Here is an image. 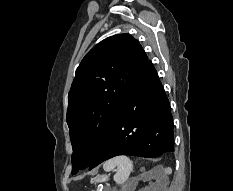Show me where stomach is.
<instances>
[{
  "label": "stomach",
  "mask_w": 233,
  "mask_h": 191,
  "mask_svg": "<svg viewBox=\"0 0 233 191\" xmlns=\"http://www.w3.org/2000/svg\"><path fill=\"white\" fill-rule=\"evenodd\" d=\"M108 179V175L97 176L91 179V183L103 182Z\"/></svg>",
  "instance_id": "stomach-1"
}]
</instances>
